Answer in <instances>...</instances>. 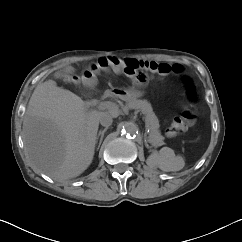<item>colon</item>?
I'll use <instances>...</instances> for the list:
<instances>
[{
    "label": "colon",
    "mask_w": 242,
    "mask_h": 242,
    "mask_svg": "<svg viewBox=\"0 0 242 242\" xmlns=\"http://www.w3.org/2000/svg\"><path fill=\"white\" fill-rule=\"evenodd\" d=\"M102 69L124 72L138 85H143L158 76L165 77L168 75H176L180 77L184 83L187 99L192 102L196 98L195 86L190 78L184 75V67L180 64L171 65L154 61L124 59L117 56H104L88 66L82 75V79L89 82L93 75ZM194 119L195 115L191 110H184L168 127V135L186 131Z\"/></svg>",
    "instance_id": "obj_1"
}]
</instances>
